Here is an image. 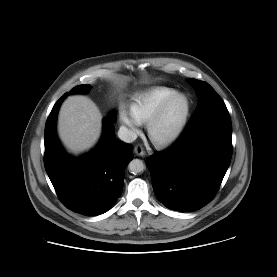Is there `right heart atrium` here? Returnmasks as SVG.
<instances>
[{
  "label": "right heart atrium",
  "instance_id": "d8ad5b80",
  "mask_svg": "<svg viewBox=\"0 0 277 277\" xmlns=\"http://www.w3.org/2000/svg\"><path fill=\"white\" fill-rule=\"evenodd\" d=\"M119 121L132 131H136L139 127V123L124 108L119 111Z\"/></svg>",
  "mask_w": 277,
  "mask_h": 277
}]
</instances>
